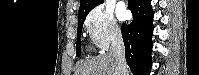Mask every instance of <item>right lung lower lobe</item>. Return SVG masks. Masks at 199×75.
Masks as SVG:
<instances>
[{"label": "right lung lower lobe", "mask_w": 199, "mask_h": 75, "mask_svg": "<svg viewBox=\"0 0 199 75\" xmlns=\"http://www.w3.org/2000/svg\"><path fill=\"white\" fill-rule=\"evenodd\" d=\"M128 9L133 21L121 28L126 61L134 75H149L153 34L151 0H129Z\"/></svg>", "instance_id": "obj_1"}]
</instances>
